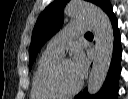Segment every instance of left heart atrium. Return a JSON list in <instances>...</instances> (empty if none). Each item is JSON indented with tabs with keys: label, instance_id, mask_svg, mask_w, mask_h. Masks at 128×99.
<instances>
[{
	"label": "left heart atrium",
	"instance_id": "obj_1",
	"mask_svg": "<svg viewBox=\"0 0 128 99\" xmlns=\"http://www.w3.org/2000/svg\"><path fill=\"white\" fill-rule=\"evenodd\" d=\"M70 62L76 75L82 80L87 71V60L83 52L76 50Z\"/></svg>",
	"mask_w": 128,
	"mask_h": 99
}]
</instances>
